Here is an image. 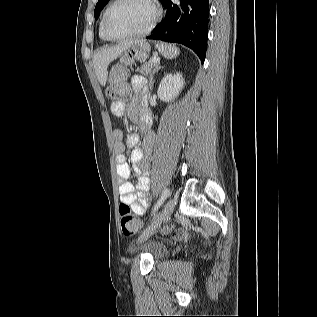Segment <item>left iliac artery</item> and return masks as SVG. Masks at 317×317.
Instances as JSON below:
<instances>
[{
	"label": "left iliac artery",
	"instance_id": "1",
	"mask_svg": "<svg viewBox=\"0 0 317 317\" xmlns=\"http://www.w3.org/2000/svg\"><path fill=\"white\" fill-rule=\"evenodd\" d=\"M170 196V190L169 189H165L161 195V197L159 198V200L157 201V203L155 204L152 214H155L158 209L160 208V206L164 203V201L167 199V197Z\"/></svg>",
	"mask_w": 317,
	"mask_h": 317
}]
</instances>
